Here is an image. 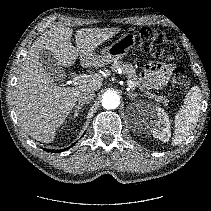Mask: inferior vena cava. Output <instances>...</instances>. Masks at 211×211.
I'll return each mask as SVG.
<instances>
[{"instance_id": "obj_1", "label": "inferior vena cava", "mask_w": 211, "mask_h": 211, "mask_svg": "<svg viewBox=\"0 0 211 211\" xmlns=\"http://www.w3.org/2000/svg\"><path fill=\"white\" fill-rule=\"evenodd\" d=\"M95 92L92 89H84L77 95L79 104L89 103L94 99Z\"/></svg>"}]
</instances>
